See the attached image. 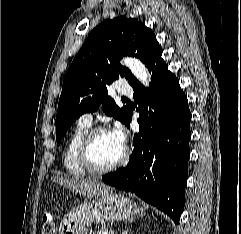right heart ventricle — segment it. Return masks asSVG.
<instances>
[{
	"label": "right heart ventricle",
	"mask_w": 241,
	"mask_h": 234,
	"mask_svg": "<svg viewBox=\"0 0 241 234\" xmlns=\"http://www.w3.org/2000/svg\"><path fill=\"white\" fill-rule=\"evenodd\" d=\"M91 129V125L78 122L69 134L63 155V163L66 171L76 177H82L87 171L81 166L78 158L80 143L84 135Z\"/></svg>",
	"instance_id": "obj_1"
}]
</instances>
